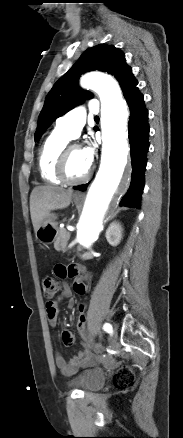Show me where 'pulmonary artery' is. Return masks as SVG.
<instances>
[{
	"mask_svg": "<svg viewBox=\"0 0 183 438\" xmlns=\"http://www.w3.org/2000/svg\"><path fill=\"white\" fill-rule=\"evenodd\" d=\"M87 111L90 114H98L100 112V105L97 100H91L88 109L83 106H78L56 121V129L67 135L69 138H76L81 129L86 123Z\"/></svg>",
	"mask_w": 183,
	"mask_h": 438,
	"instance_id": "pulmonary-artery-1",
	"label": "pulmonary artery"
}]
</instances>
